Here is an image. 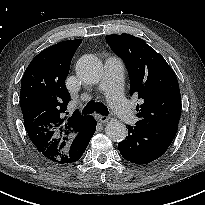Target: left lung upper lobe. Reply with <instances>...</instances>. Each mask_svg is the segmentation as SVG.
<instances>
[{
    "mask_svg": "<svg viewBox=\"0 0 205 205\" xmlns=\"http://www.w3.org/2000/svg\"><path fill=\"white\" fill-rule=\"evenodd\" d=\"M106 41L123 59L130 77V95H138L140 122L178 124L181 96L177 77L163 56L143 39L129 34L107 35Z\"/></svg>",
    "mask_w": 205,
    "mask_h": 205,
    "instance_id": "1",
    "label": "left lung upper lobe"
}]
</instances>
